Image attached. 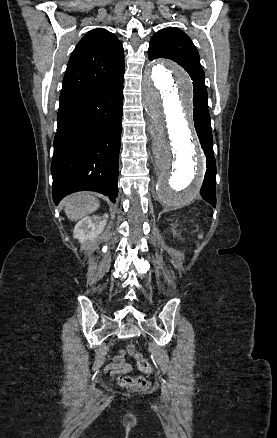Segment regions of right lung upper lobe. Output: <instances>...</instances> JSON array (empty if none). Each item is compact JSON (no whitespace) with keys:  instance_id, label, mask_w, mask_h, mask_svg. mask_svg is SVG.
Wrapping results in <instances>:
<instances>
[{"instance_id":"right-lung-upper-lobe-1","label":"right lung upper lobe","mask_w":277,"mask_h":438,"mask_svg":"<svg viewBox=\"0 0 277 438\" xmlns=\"http://www.w3.org/2000/svg\"><path fill=\"white\" fill-rule=\"evenodd\" d=\"M125 70L123 46L109 31H89L72 52L60 100L119 77Z\"/></svg>"}]
</instances>
